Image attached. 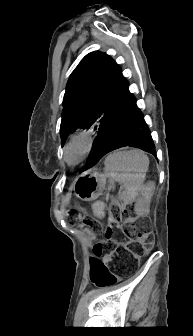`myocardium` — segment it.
Instances as JSON below:
<instances>
[{"mask_svg":"<svg viewBox=\"0 0 193 336\" xmlns=\"http://www.w3.org/2000/svg\"><path fill=\"white\" fill-rule=\"evenodd\" d=\"M77 146L79 148L78 157L71 160L69 157L70 150ZM93 148V137L91 133L82 131L73 134L67 141L63 151V157L68 165L74 166L82 162L92 151Z\"/></svg>","mask_w":193,"mask_h":336,"instance_id":"obj_1","label":"myocardium"}]
</instances>
